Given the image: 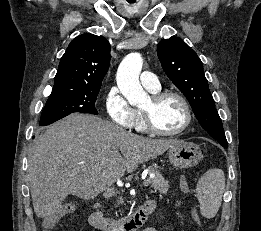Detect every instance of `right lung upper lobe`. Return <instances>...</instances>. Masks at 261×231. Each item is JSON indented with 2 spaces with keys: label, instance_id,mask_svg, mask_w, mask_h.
<instances>
[{
  "label": "right lung upper lobe",
  "instance_id": "cb5924a9",
  "mask_svg": "<svg viewBox=\"0 0 261 231\" xmlns=\"http://www.w3.org/2000/svg\"><path fill=\"white\" fill-rule=\"evenodd\" d=\"M110 64V44L102 36L76 37L62 56L54 89H100Z\"/></svg>",
  "mask_w": 261,
  "mask_h": 231
}]
</instances>
